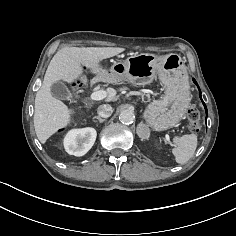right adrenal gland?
Masks as SVG:
<instances>
[{
  "label": "right adrenal gland",
  "instance_id": "right-adrenal-gland-1",
  "mask_svg": "<svg viewBox=\"0 0 236 236\" xmlns=\"http://www.w3.org/2000/svg\"><path fill=\"white\" fill-rule=\"evenodd\" d=\"M93 119H97L100 123H103L106 119H102L99 116H95Z\"/></svg>",
  "mask_w": 236,
  "mask_h": 236
}]
</instances>
